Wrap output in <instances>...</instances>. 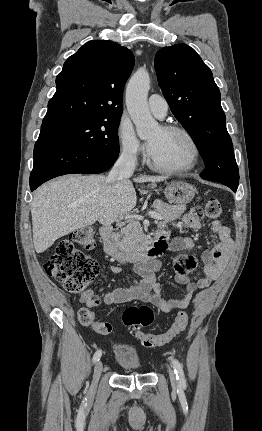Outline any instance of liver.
I'll list each match as a JSON object with an SVG mask.
<instances>
[{
	"label": "liver",
	"mask_w": 262,
	"mask_h": 431,
	"mask_svg": "<svg viewBox=\"0 0 262 431\" xmlns=\"http://www.w3.org/2000/svg\"><path fill=\"white\" fill-rule=\"evenodd\" d=\"M166 177L141 175L135 182H161ZM137 202L132 182L109 183L104 175H70L52 180L34 193L31 204L33 243L46 251L66 234L99 221L111 224L129 213Z\"/></svg>",
	"instance_id": "1"
}]
</instances>
